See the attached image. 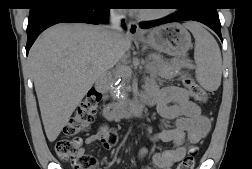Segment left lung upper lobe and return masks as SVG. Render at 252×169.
<instances>
[{
    "mask_svg": "<svg viewBox=\"0 0 252 169\" xmlns=\"http://www.w3.org/2000/svg\"><path fill=\"white\" fill-rule=\"evenodd\" d=\"M208 0H183L182 3H178L179 9L187 8L196 4H202Z\"/></svg>",
    "mask_w": 252,
    "mask_h": 169,
    "instance_id": "1",
    "label": "left lung upper lobe"
}]
</instances>
